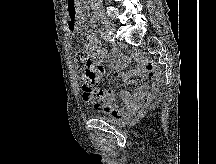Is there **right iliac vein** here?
Wrapping results in <instances>:
<instances>
[{
	"instance_id": "1",
	"label": "right iliac vein",
	"mask_w": 216,
	"mask_h": 164,
	"mask_svg": "<svg viewBox=\"0 0 216 164\" xmlns=\"http://www.w3.org/2000/svg\"><path fill=\"white\" fill-rule=\"evenodd\" d=\"M101 22H102V24H103V26H104V28H105V30L107 32H110L111 34H114L115 27L108 19L102 18Z\"/></svg>"
}]
</instances>
